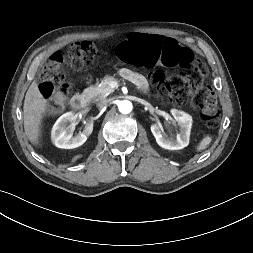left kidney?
Here are the masks:
<instances>
[{
    "instance_id": "1",
    "label": "left kidney",
    "mask_w": 253,
    "mask_h": 253,
    "mask_svg": "<svg viewBox=\"0 0 253 253\" xmlns=\"http://www.w3.org/2000/svg\"><path fill=\"white\" fill-rule=\"evenodd\" d=\"M171 114L179 126V133L176 137L164 135L161 124L151 125V132L160 147L168 150H180L189 144L192 117L177 109H172Z\"/></svg>"
}]
</instances>
